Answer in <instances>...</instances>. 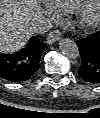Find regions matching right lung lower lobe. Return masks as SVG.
<instances>
[{
  "label": "right lung lower lobe",
  "instance_id": "1",
  "mask_svg": "<svg viewBox=\"0 0 100 118\" xmlns=\"http://www.w3.org/2000/svg\"><path fill=\"white\" fill-rule=\"evenodd\" d=\"M46 43L32 37L28 44L13 54L0 53V77L11 82H23L33 77Z\"/></svg>",
  "mask_w": 100,
  "mask_h": 118
}]
</instances>
